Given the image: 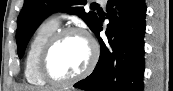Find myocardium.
I'll use <instances>...</instances> for the list:
<instances>
[{
    "instance_id": "f54148a6",
    "label": "myocardium",
    "mask_w": 173,
    "mask_h": 91,
    "mask_svg": "<svg viewBox=\"0 0 173 91\" xmlns=\"http://www.w3.org/2000/svg\"><path fill=\"white\" fill-rule=\"evenodd\" d=\"M69 34H77L81 35L86 39V41L89 44L90 47V57L89 62L86 65V67L79 72L78 74L65 78V79H57L50 75V73L47 70V60L49 58V55L55 46L57 42H59L63 37L69 35ZM99 59V47L95 40L83 29L73 26H67L58 29L56 32H54L45 42L43 45L37 61V70L39 76L48 84L55 86V87H62L67 86L70 84H73L86 76H88L93 69L95 68L97 62Z\"/></svg>"
}]
</instances>
